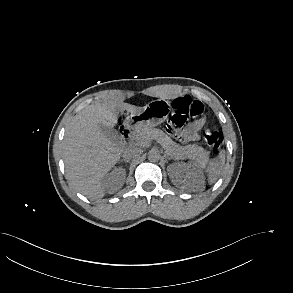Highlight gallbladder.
Masks as SVG:
<instances>
[{
  "mask_svg": "<svg viewBox=\"0 0 293 293\" xmlns=\"http://www.w3.org/2000/svg\"><path fill=\"white\" fill-rule=\"evenodd\" d=\"M99 128H100L101 132L104 135H106V137H108L110 140L117 142V143H121L122 139H121L119 133L115 129H113L109 126H105V125H100Z\"/></svg>",
  "mask_w": 293,
  "mask_h": 293,
  "instance_id": "bac80fb5",
  "label": "gallbladder"
}]
</instances>
